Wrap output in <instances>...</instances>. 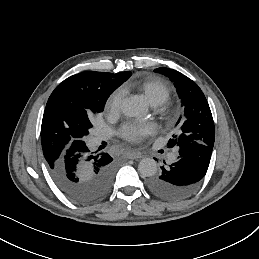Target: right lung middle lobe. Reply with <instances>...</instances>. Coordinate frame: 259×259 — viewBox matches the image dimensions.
Returning <instances> with one entry per match:
<instances>
[{
	"label": "right lung middle lobe",
	"mask_w": 259,
	"mask_h": 259,
	"mask_svg": "<svg viewBox=\"0 0 259 259\" xmlns=\"http://www.w3.org/2000/svg\"><path fill=\"white\" fill-rule=\"evenodd\" d=\"M105 103L98 106L97 113H100L104 109ZM92 115L89 117L91 118ZM92 127V124L89 120L88 124L85 126V129L81 130L80 132H77L74 134V139L77 140V142H84L85 137L88 135V130Z\"/></svg>",
	"instance_id": "1"
}]
</instances>
